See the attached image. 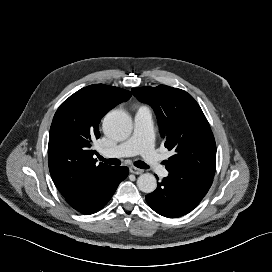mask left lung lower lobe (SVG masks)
<instances>
[{"label": "left lung lower lobe", "instance_id": "left-lung-lower-lobe-1", "mask_svg": "<svg viewBox=\"0 0 272 272\" xmlns=\"http://www.w3.org/2000/svg\"><path fill=\"white\" fill-rule=\"evenodd\" d=\"M213 178L169 171L157 189L146 195L148 205L158 214L175 218L192 211L208 192Z\"/></svg>", "mask_w": 272, "mask_h": 272}]
</instances>
